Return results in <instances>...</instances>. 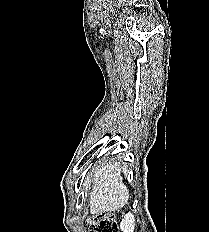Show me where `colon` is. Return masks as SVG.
I'll return each mask as SVG.
<instances>
[{
	"label": "colon",
	"instance_id": "obj_1",
	"mask_svg": "<svg viewBox=\"0 0 209 232\" xmlns=\"http://www.w3.org/2000/svg\"><path fill=\"white\" fill-rule=\"evenodd\" d=\"M90 232H119L114 217L108 213H99L88 219Z\"/></svg>",
	"mask_w": 209,
	"mask_h": 232
}]
</instances>
